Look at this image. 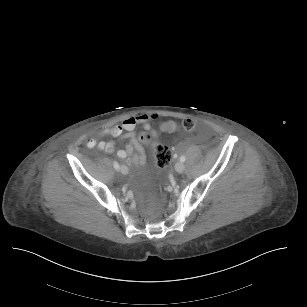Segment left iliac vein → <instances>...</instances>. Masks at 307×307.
<instances>
[{
  "label": "left iliac vein",
  "mask_w": 307,
  "mask_h": 307,
  "mask_svg": "<svg viewBox=\"0 0 307 307\" xmlns=\"http://www.w3.org/2000/svg\"><path fill=\"white\" fill-rule=\"evenodd\" d=\"M185 169V165L183 162L179 161L176 163L175 165V170L178 172V173H182Z\"/></svg>",
  "instance_id": "obj_1"
}]
</instances>
